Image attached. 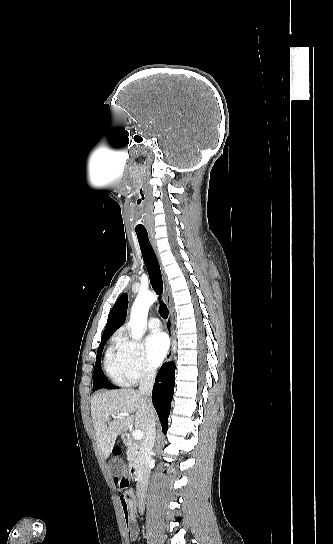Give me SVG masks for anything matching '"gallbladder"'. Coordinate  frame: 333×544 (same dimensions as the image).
Segmentation results:
<instances>
[{
	"label": "gallbladder",
	"mask_w": 333,
	"mask_h": 544,
	"mask_svg": "<svg viewBox=\"0 0 333 544\" xmlns=\"http://www.w3.org/2000/svg\"><path fill=\"white\" fill-rule=\"evenodd\" d=\"M109 467H110V470H111V473H112L113 476H119L125 470L124 464L119 459L112 461L109 464Z\"/></svg>",
	"instance_id": "gallbladder-1"
}]
</instances>
